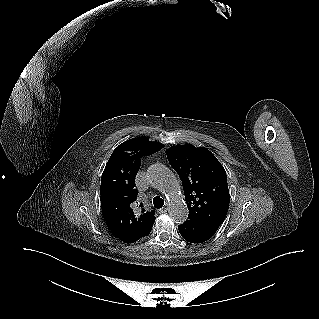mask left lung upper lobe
Returning a JSON list of instances; mask_svg holds the SVG:
<instances>
[{"mask_svg":"<svg viewBox=\"0 0 319 319\" xmlns=\"http://www.w3.org/2000/svg\"><path fill=\"white\" fill-rule=\"evenodd\" d=\"M166 154L182 181L188 220L220 226L230 201L227 175L221 163L206 148L188 144L172 146Z\"/></svg>","mask_w":319,"mask_h":319,"instance_id":"1","label":"left lung upper lobe"}]
</instances>
